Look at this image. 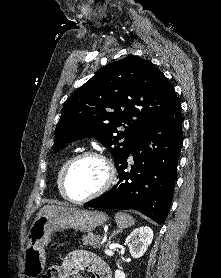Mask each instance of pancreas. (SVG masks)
I'll return each mask as SVG.
<instances>
[{
  "instance_id": "cf45deb5",
  "label": "pancreas",
  "mask_w": 221,
  "mask_h": 278,
  "mask_svg": "<svg viewBox=\"0 0 221 278\" xmlns=\"http://www.w3.org/2000/svg\"><path fill=\"white\" fill-rule=\"evenodd\" d=\"M81 240L83 241L84 245H90L93 248H98V249L101 248V245L99 243L101 240V237L99 235H94L92 233H88L86 235H83Z\"/></svg>"
}]
</instances>
